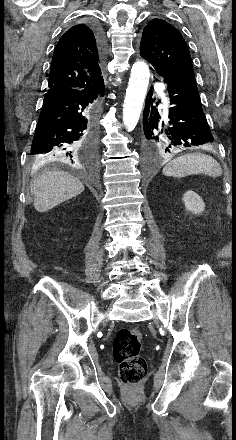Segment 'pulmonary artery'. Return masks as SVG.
<instances>
[{
	"instance_id": "pulmonary-artery-1",
	"label": "pulmonary artery",
	"mask_w": 236,
	"mask_h": 440,
	"mask_svg": "<svg viewBox=\"0 0 236 440\" xmlns=\"http://www.w3.org/2000/svg\"><path fill=\"white\" fill-rule=\"evenodd\" d=\"M164 89H165V88H164L162 85H160L159 88H158V90H159L160 92H164Z\"/></svg>"
}]
</instances>
